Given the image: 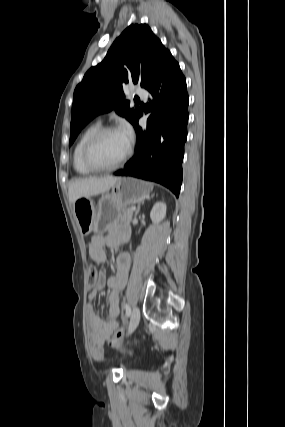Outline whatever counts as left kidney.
<instances>
[{
  "label": "left kidney",
  "mask_w": 285,
  "mask_h": 427,
  "mask_svg": "<svg viewBox=\"0 0 285 427\" xmlns=\"http://www.w3.org/2000/svg\"><path fill=\"white\" fill-rule=\"evenodd\" d=\"M166 216V204L164 202H157L151 212L150 218L154 223H159L164 220Z\"/></svg>",
  "instance_id": "left-kidney-1"
}]
</instances>
